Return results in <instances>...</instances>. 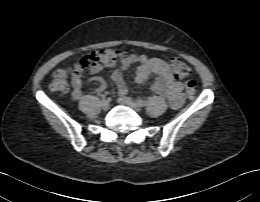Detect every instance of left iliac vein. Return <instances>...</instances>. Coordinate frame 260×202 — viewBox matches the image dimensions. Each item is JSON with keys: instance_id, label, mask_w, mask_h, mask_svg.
I'll list each match as a JSON object with an SVG mask.
<instances>
[{"instance_id": "4c4485c4", "label": "left iliac vein", "mask_w": 260, "mask_h": 202, "mask_svg": "<svg viewBox=\"0 0 260 202\" xmlns=\"http://www.w3.org/2000/svg\"><path fill=\"white\" fill-rule=\"evenodd\" d=\"M118 103L122 104V105H125V106H128L134 110H137L139 111L140 108L139 106L136 104V102H134L131 98L129 97H120L118 98Z\"/></svg>"}]
</instances>
